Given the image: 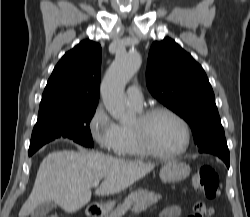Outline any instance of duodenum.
Masks as SVG:
<instances>
[{
    "instance_id": "obj_1",
    "label": "duodenum",
    "mask_w": 250,
    "mask_h": 217,
    "mask_svg": "<svg viewBox=\"0 0 250 217\" xmlns=\"http://www.w3.org/2000/svg\"><path fill=\"white\" fill-rule=\"evenodd\" d=\"M87 217H101L103 209L97 204H90L86 210Z\"/></svg>"
}]
</instances>
